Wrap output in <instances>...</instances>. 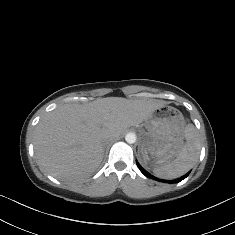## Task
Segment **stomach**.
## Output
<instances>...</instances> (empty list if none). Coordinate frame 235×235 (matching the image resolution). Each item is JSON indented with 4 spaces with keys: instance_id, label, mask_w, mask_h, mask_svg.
Returning <instances> with one entry per match:
<instances>
[{
    "instance_id": "1",
    "label": "stomach",
    "mask_w": 235,
    "mask_h": 235,
    "mask_svg": "<svg viewBox=\"0 0 235 235\" xmlns=\"http://www.w3.org/2000/svg\"><path fill=\"white\" fill-rule=\"evenodd\" d=\"M146 130L140 131V160L154 169L174 160L185 145L186 122L183 114L171 106L156 108L145 120Z\"/></svg>"
}]
</instances>
